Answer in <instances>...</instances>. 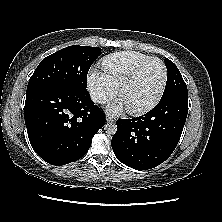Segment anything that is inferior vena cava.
<instances>
[{
  "label": "inferior vena cava",
  "instance_id": "obj_1",
  "mask_svg": "<svg viewBox=\"0 0 222 222\" xmlns=\"http://www.w3.org/2000/svg\"><path fill=\"white\" fill-rule=\"evenodd\" d=\"M91 98L94 102H97V103H102L105 101L106 99V96L101 94V93H93L91 95Z\"/></svg>",
  "mask_w": 222,
  "mask_h": 222
}]
</instances>
